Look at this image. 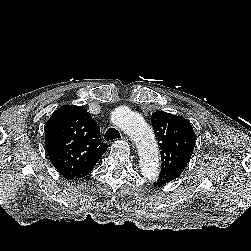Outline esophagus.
Returning a JSON list of instances; mask_svg holds the SVG:
<instances>
[{"label":"esophagus","mask_w":251,"mask_h":251,"mask_svg":"<svg viewBox=\"0 0 251 251\" xmlns=\"http://www.w3.org/2000/svg\"><path fill=\"white\" fill-rule=\"evenodd\" d=\"M122 139H124L132 148H134V142L131 138L123 136Z\"/></svg>","instance_id":"34e87169"}]
</instances>
